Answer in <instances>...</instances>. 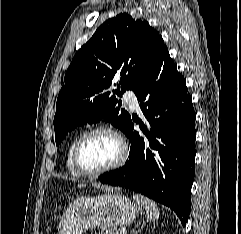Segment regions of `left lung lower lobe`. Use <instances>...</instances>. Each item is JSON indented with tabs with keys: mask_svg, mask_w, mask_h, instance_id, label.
<instances>
[{
	"mask_svg": "<svg viewBox=\"0 0 241 234\" xmlns=\"http://www.w3.org/2000/svg\"><path fill=\"white\" fill-rule=\"evenodd\" d=\"M147 119L130 117L125 165L99 176L102 183L129 188L170 207L186 225L195 175V112L184 77L162 49L134 87ZM139 124L144 136L133 131Z\"/></svg>",
	"mask_w": 241,
	"mask_h": 234,
	"instance_id": "obj_1",
	"label": "left lung lower lobe"
}]
</instances>
